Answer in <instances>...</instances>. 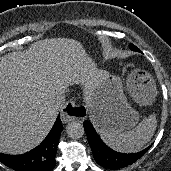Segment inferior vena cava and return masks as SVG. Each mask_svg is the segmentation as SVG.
<instances>
[{"mask_svg":"<svg viewBox=\"0 0 171 171\" xmlns=\"http://www.w3.org/2000/svg\"><path fill=\"white\" fill-rule=\"evenodd\" d=\"M65 99L63 97H60L56 104L53 106L54 109L59 110L61 106L64 104Z\"/></svg>","mask_w":171,"mask_h":171,"instance_id":"1","label":"inferior vena cava"}]
</instances>
